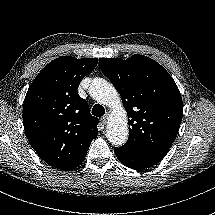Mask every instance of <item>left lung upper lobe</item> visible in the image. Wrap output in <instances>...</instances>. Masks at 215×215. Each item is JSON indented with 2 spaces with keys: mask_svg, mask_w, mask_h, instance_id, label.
Masks as SVG:
<instances>
[{
  "mask_svg": "<svg viewBox=\"0 0 215 215\" xmlns=\"http://www.w3.org/2000/svg\"><path fill=\"white\" fill-rule=\"evenodd\" d=\"M99 66L120 93L128 114L129 139L136 150H169L183 116L182 98L172 77L153 59L135 54L101 58Z\"/></svg>",
  "mask_w": 215,
  "mask_h": 215,
  "instance_id": "left-lung-upper-lobe-1",
  "label": "left lung upper lobe"
}]
</instances>
